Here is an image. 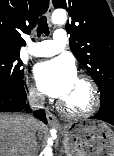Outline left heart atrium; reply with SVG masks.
<instances>
[{"label":"left heart atrium","instance_id":"39dd6f15","mask_svg":"<svg viewBox=\"0 0 114 156\" xmlns=\"http://www.w3.org/2000/svg\"><path fill=\"white\" fill-rule=\"evenodd\" d=\"M38 88L51 97L63 100L77 80L74 63L68 57H57L34 67Z\"/></svg>","mask_w":114,"mask_h":156}]
</instances>
